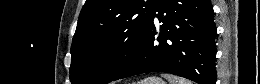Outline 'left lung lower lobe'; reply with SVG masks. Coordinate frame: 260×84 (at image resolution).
Segmentation results:
<instances>
[{
	"label": "left lung lower lobe",
	"instance_id": "obj_1",
	"mask_svg": "<svg viewBox=\"0 0 260 84\" xmlns=\"http://www.w3.org/2000/svg\"><path fill=\"white\" fill-rule=\"evenodd\" d=\"M216 32L210 0H156L136 53L109 82L166 72L215 84Z\"/></svg>",
	"mask_w": 260,
	"mask_h": 84
}]
</instances>
